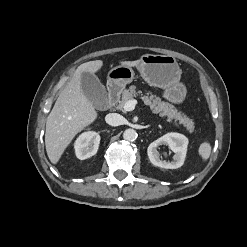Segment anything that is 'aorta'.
<instances>
[{"instance_id": "762f6f07", "label": "aorta", "mask_w": 247, "mask_h": 247, "mask_svg": "<svg viewBox=\"0 0 247 247\" xmlns=\"http://www.w3.org/2000/svg\"><path fill=\"white\" fill-rule=\"evenodd\" d=\"M123 138L127 141H134L137 138V132L134 129H126L123 133Z\"/></svg>"}]
</instances>
